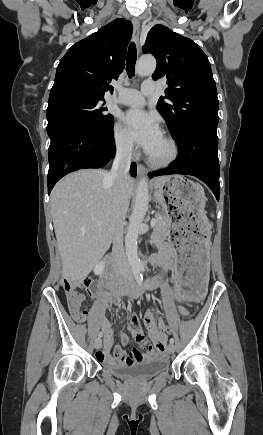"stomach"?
Listing matches in <instances>:
<instances>
[{"label":"stomach","instance_id":"obj_1","mask_svg":"<svg viewBox=\"0 0 263 435\" xmlns=\"http://www.w3.org/2000/svg\"><path fill=\"white\" fill-rule=\"evenodd\" d=\"M152 185L155 199L174 223L168 224L175 250L174 261L169 264L174 285L168 296L175 305H199L200 299H206L205 288L211 287L205 267L212 246V224L204 208V190L181 175L156 178Z\"/></svg>","mask_w":263,"mask_h":435}]
</instances>
